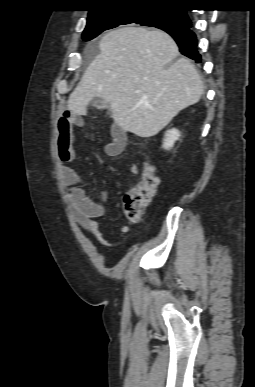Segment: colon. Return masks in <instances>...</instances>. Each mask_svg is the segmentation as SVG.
Returning <instances> with one entry per match:
<instances>
[{
  "instance_id": "1",
  "label": "colon",
  "mask_w": 255,
  "mask_h": 387,
  "mask_svg": "<svg viewBox=\"0 0 255 387\" xmlns=\"http://www.w3.org/2000/svg\"><path fill=\"white\" fill-rule=\"evenodd\" d=\"M158 183L155 167L148 162H144L140 180L128 191L124 198V211L132 224L140 223L145 209L156 193Z\"/></svg>"
}]
</instances>
